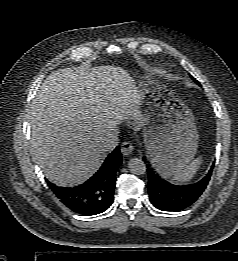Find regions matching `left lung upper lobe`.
Instances as JSON below:
<instances>
[{
    "label": "left lung upper lobe",
    "mask_w": 238,
    "mask_h": 261,
    "mask_svg": "<svg viewBox=\"0 0 238 261\" xmlns=\"http://www.w3.org/2000/svg\"><path fill=\"white\" fill-rule=\"evenodd\" d=\"M191 77H192V76H191ZM192 79H193L194 81H196V79H195V78H193V77H192ZM196 82H197V81H196Z\"/></svg>",
    "instance_id": "5c2ea615"
}]
</instances>
